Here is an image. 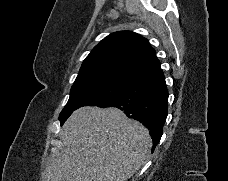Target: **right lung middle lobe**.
Instances as JSON below:
<instances>
[{"label": "right lung middle lobe", "instance_id": "1", "mask_svg": "<svg viewBox=\"0 0 228 181\" xmlns=\"http://www.w3.org/2000/svg\"><path fill=\"white\" fill-rule=\"evenodd\" d=\"M131 79L115 76H88L75 80L70 98L60 113L61 125L81 106H97L116 96Z\"/></svg>", "mask_w": 228, "mask_h": 181}]
</instances>
